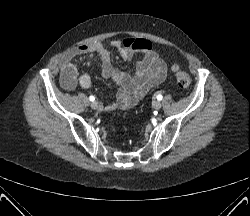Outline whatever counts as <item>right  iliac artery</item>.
Returning <instances> with one entry per match:
<instances>
[{"instance_id": "right-iliac-artery-1", "label": "right iliac artery", "mask_w": 250, "mask_h": 216, "mask_svg": "<svg viewBox=\"0 0 250 216\" xmlns=\"http://www.w3.org/2000/svg\"><path fill=\"white\" fill-rule=\"evenodd\" d=\"M89 100L93 102L95 100V97L94 96H90Z\"/></svg>"}]
</instances>
